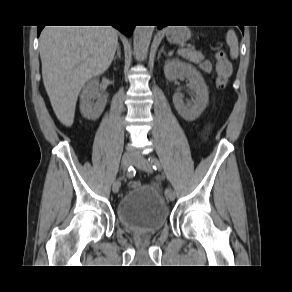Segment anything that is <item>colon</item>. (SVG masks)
<instances>
[{
	"mask_svg": "<svg viewBox=\"0 0 292 292\" xmlns=\"http://www.w3.org/2000/svg\"><path fill=\"white\" fill-rule=\"evenodd\" d=\"M216 81L219 88H225L228 84L229 78L232 74V64L226 56L223 50H218L216 52ZM140 182L132 181L130 182L131 188H136L140 186Z\"/></svg>",
	"mask_w": 292,
	"mask_h": 292,
	"instance_id": "obj_1",
	"label": "colon"
}]
</instances>
